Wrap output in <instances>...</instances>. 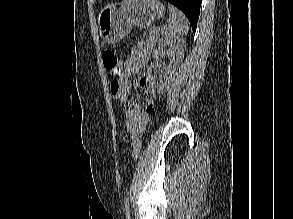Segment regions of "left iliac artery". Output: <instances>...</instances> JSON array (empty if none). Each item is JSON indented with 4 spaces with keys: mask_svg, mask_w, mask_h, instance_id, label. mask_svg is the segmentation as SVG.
Listing matches in <instances>:
<instances>
[{
    "mask_svg": "<svg viewBox=\"0 0 293 219\" xmlns=\"http://www.w3.org/2000/svg\"><path fill=\"white\" fill-rule=\"evenodd\" d=\"M125 211H126V217L127 219H130V207H129V198L127 197L124 203Z\"/></svg>",
    "mask_w": 293,
    "mask_h": 219,
    "instance_id": "obj_1",
    "label": "left iliac artery"
}]
</instances>
